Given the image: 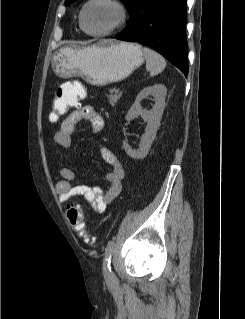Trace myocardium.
Wrapping results in <instances>:
<instances>
[{
    "label": "myocardium",
    "mask_w": 245,
    "mask_h": 319,
    "mask_svg": "<svg viewBox=\"0 0 245 319\" xmlns=\"http://www.w3.org/2000/svg\"><path fill=\"white\" fill-rule=\"evenodd\" d=\"M107 4L111 7L115 8L118 12V19L114 25L109 27L106 30L99 31V32H90L85 27V14L87 9L93 4ZM128 19V9L126 5L121 0H87L83 5L81 12H80V26L81 29L89 36L92 37H105L115 33L119 30L127 21Z\"/></svg>",
    "instance_id": "f54148a6"
}]
</instances>
